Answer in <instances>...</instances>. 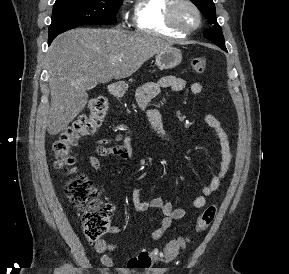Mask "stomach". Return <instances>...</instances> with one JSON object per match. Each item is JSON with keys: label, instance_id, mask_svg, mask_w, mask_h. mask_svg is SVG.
Here are the masks:
<instances>
[{"label": "stomach", "instance_id": "0dacf381", "mask_svg": "<svg viewBox=\"0 0 289 274\" xmlns=\"http://www.w3.org/2000/svg\"><path fill=\"white\" fill-rule=\"evenodd\" d=\"M182 61V53L177 48H169L156 55V64L160 69H170L178 66ZM115 92L124 94L128 89V84L119 81L113 85Z\"/></svg>", "mask_w": 289, "mask_h": 274}]
</instances>
